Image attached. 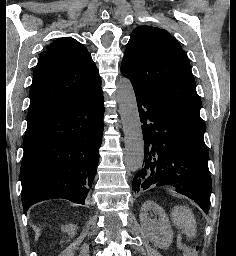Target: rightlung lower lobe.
I'll return each mask as SVG.
<instances>
[{
  "instance_id": "98d812e1",
  "label": "right lung lower lobe",
  "mask_w": 236,
  "mask_h": 256,
  "mask_svg": "<svg viewBox=\"0 0 236 256\" xmlns=\"http://www.w3.org/2000/svg\"><path fill=\"white\" fill-rule=\"evenodd\" d=\"M103 102L99 86L28 125L20 170L24 213L53 198L85 203L99 160Z\"/></svg>"
}]
</instances>
